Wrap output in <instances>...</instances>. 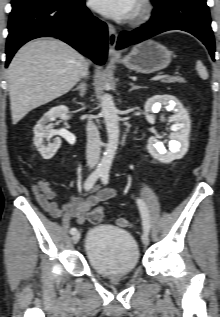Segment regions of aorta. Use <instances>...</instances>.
<instances>
[{"instance_id":"1","label":"aorta","mask_w":220,"mask_h":317,"mask_svg":"<svg viewBox=\"0 0 220 317\" xmlns=\"http://www.w3.org/2000/svg\"><path fill=\"white\" fill-rule=\"evenodd\" d=\"M101 112L106 125L108 143L99 164V169L109 170L117 150L120 131L117 109L112 96L107 93L101 97Z\"/></svg>"}]
</instances>
